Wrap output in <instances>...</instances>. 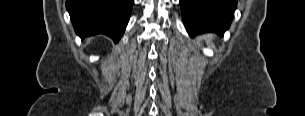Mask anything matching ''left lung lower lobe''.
I'll return each mask as SVG.
<instances>
[{
  "mask_svg": "<svg viewBox=\"0 0 305 116\" xmlns=\"http://www.w3.org/2000/svg\"><path fill=\"white\" fill-rule=\"evenodd\" d=\"M183 23L194 36L204 32L223 35L229 28L236 9V0H180Z\"/></svg>",
  "mask_w": 305,
  "mask_h": 116,
  "instance_id": "1",
  "label": "left lung lower lobe"
}]
</instances>
